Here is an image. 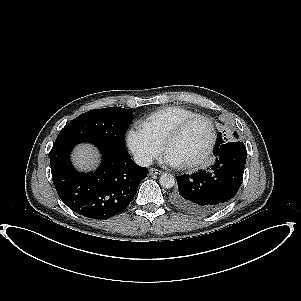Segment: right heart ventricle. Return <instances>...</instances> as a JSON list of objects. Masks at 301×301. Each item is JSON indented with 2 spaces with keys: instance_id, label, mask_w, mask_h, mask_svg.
Returning a JSON list of instances; mask_svg holds the SVG:
<instances>
[{
  "instance_id": "right-heart-ventricle-1",
  "label": "right heart ventricle",
  "mask_w": 301,
  "mask_h": 301,
  "mask_svg": "<svg viewBox=\"0 0 301 301\" xmlns=\"http://www.w3.org/2000/svg\"><path fill=\"white\" fill-rule=\"evenodd\" d=\"M197 115L182 107H166L150 114L142 122V128L153 138L162 142L166 135L180 122Z\"/></svg>"
}]
</instances>
